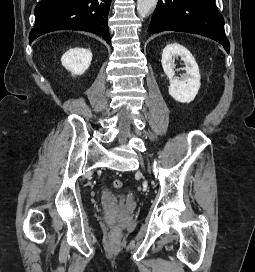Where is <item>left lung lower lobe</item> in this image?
<instances>
[{"mask_svg":"<svg viewBox=\"0 0 255 272\" xmlns=\"http://www.w3.org/2000/svg\"><path fill=\"white\" fill-rule=\"evenodd\" d=\"M148 31L200 34L222 44L228 53L230 50L215 0H158Z\"/></svg>","mask_w":255,"mask_h":272,"instance_id":"0a47b994","label":"left lung lower lobe"}]
</instances>
